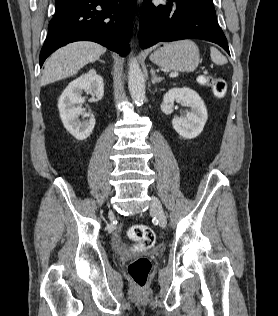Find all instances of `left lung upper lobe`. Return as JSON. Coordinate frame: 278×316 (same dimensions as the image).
I'll return each instance as SVG.
<instances>
[{
  "label": "left lung upper lobe",
  "instance_id": "left-lung-upper-lobe-1",
  "mask_svg": "<svg viewBox=\"0 0 278 316\" xmlns=\"http://www.w3.org/2000/svg\"><path fill=\"white\" fill-rule=\"evenodd\" d=\"M186 1H189L213 14H216L212 0H186Z\"/></svg>",
  "mask_w": 278,
  "mask_h": 316
}]
</instances>
